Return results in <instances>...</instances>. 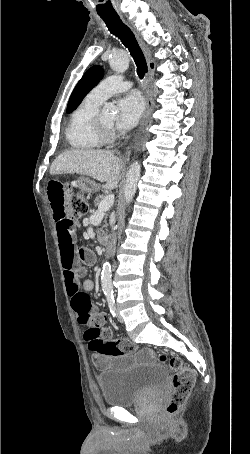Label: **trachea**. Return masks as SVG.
<instances>
[{
    "mask_svg": "<svg viewBox=\"0 0 250 454\" xmlns=\"http://www.w3.org/2000/svg\"><path fill=\"white\" fill-rule=\"evenodd\" d=\"M108 27L109 31L118 37L124 46L128 48L137 67V74L142 79L148 71V66L144 54L129 27L122 23L118 15L100 16Z\"/></svg>",
    "mask_w": 250,
    "mask_h": 454,
    "instance_id": "3493384b",
    "label": "trachea"
}]
</instances>
